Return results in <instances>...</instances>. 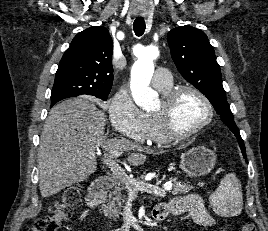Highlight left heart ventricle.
Returning a JSON list of instances; mask_svg holds the SVG:
<instances>
[{
    "label": "left heart ventricle",
    "instance_id": "1",
    "mask_svg": "<svg viewBox=\"0 0 268 231\" xmlns=\"http://www.w3.org/2000/svg\"><path fill=\"white\" fill-rule=\"evenodd\" d=\"M157 104L155 111L158 109ZM207 115L204 102L192 92H184L177 99L174 110V125L179 131H188L198 126Z\"/></svg>",
    "mask_w": 268,
    "mask_h": 231
}]
</instances>
